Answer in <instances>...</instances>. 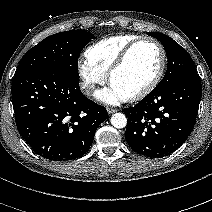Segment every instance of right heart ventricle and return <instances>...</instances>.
<instances>
[{
  "instance_id": "right-heart-ventricle-1",
  "label": "right heart ventricle",
  "mask_w": 212,
  "mask_h": 212,
  "mask_svg": "<svg viewBox=\"0 0 212 212\" xmlns=\"http://www.w3.org/2000/svg\"><path fill=\"white\" fill-rule=\"evenodd\" d=\"M137 38L139 36L134 34H119L102 39L87 48L86 59L101 72L107 74L122 51Z\"/></svg>"
}]
</instances>
